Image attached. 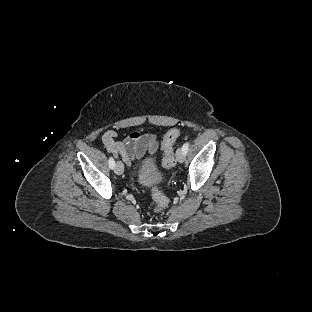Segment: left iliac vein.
I'll return each mask as SVG.
<instances>
[{
  "label": "left iliac vein",
  "mask_w": 312,
  "mask_h": 312,
  "mask_svg": "<svg viewBox=\"0 0 312 312\" xmlns=\"http://www.w3.org/2000/svg\"><path fill=\"white\" fill-rule=\"evenodd\" d=\"M176 158L179 163H183L185 161V153L182 149H178L176 152Z\"/></svg>",
  "instance_id": "4c4485c4"
}]
</instances>
